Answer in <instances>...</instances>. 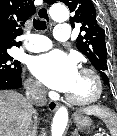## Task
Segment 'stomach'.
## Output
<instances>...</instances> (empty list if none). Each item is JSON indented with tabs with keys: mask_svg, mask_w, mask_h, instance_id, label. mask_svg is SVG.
Wrapping results in <instances>:
<instances>
[{
	"mask_svg": "<svg viewBox=\"0 0 117 136\" xmlns=\"http://www.w3.org/2000/svg\"><path fill=\"white\" fill-rule=\"evenodd\" d=\"M74 121L80 128H89L91 126V120L83 115H76Z\"/></svg>",
	"mask_w": 117,
	"mask_h": 136,
	"instance_id": "stomach-1",
	"label": "stomach"
}]
</instances>
